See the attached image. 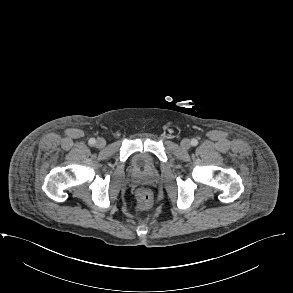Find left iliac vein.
I'll return each instance as SVG.
<instances>
[{
    "mask_svg": "<svg viewBox=\"0 0 293 293\" xmlns=\"http://www.w3.org/2000/svg\"><path fill=\"white\" fill-rule=\"evenodd\" d=\"M190 146H191V142H190L189 139H183V140L181 141V147H182L183 149H189Z\"/></svg>",
    "mask_w": 293,
    "mask_h": 293,
    "instance_id": "obj_1",
    "label": "left iliac vein"
}]
</instances>
